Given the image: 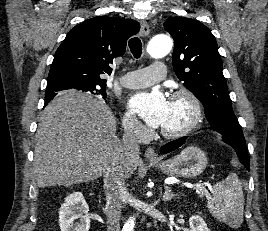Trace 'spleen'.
<instances>
[{"instance_id": "1", "label": "spleen", "mask_w": 268, "mask_h": 231, "mask_svg": "<svg viewBox=\"0 0 268 231\" xmlns=\"http://www.w3.org/2000/svg\"><path fill=\"white\" fill-rule=\"evenodd\" d=\"M207 207L219 221L233 228L240 227L243 222L244 195L236 174H229L225 180L213 186Z\"/></svg>"}]
</instances>
